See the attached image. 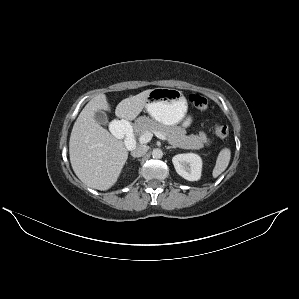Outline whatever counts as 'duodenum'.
I'll list each match as a JSON object with an SVG mask.
<instances>
[{"label": "duodenum", "instance_id": "410a0bca", "mask_svg": "<svg viewBox=\"0 0 299 299\" xmlns=\"http://www.w3.org/2000/svg\"><path fill=\"white\" fill-rule=\"evenodd\" d=\"M113 129L117 131H122L126 134V147L128 150H132L136 147L135 137L132 130L127 125L126 121L122 117H118L116 119L115 124L113 125Z\"/></svg>", "mask_w": 299, "mask_h": 299}]
</instances>
